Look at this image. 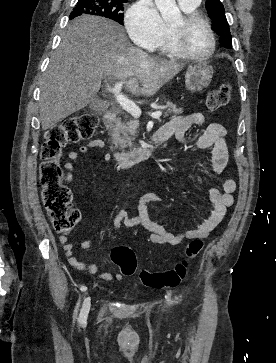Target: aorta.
Wrapping results in <instances>:
<instances>
[{
	"label": "aorta",
	"instance_id": "obj_1",
	"mask_svg": "<svg viewBox=\"0 0 276 363\" xmlns=\"http://www.w3.org/2000/svg\"><path fill=\"white\" fill-rule=\"evenodd\" d=\"M160 11L162 19L167 22H175L181 19V12L175 0H154Z\"/></svg>",
	"mask_w": 276,
	"mask_h": 363
}]
</instances>
